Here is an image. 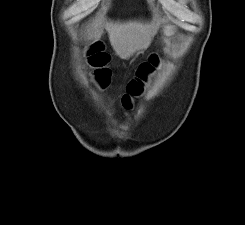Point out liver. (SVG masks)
<instances>
[{
	"instance_id": "obj_1",
	"label": "liver",
	"mask_w": 245,
	"mask_h": 225,
	"mask_svg": "<svg viewBox=\"0 0 245 225\" xmlns=\"http://www.w3.org/2000/svg\"><path fill=\"white\" fill-rule=\"evenodd\" d=\"M102 23L95 19L89 29L88 38L99 39ZM104 27L108 32L111 46L121 59H128L137 51L146 49L157 31L154 24L140 21L111 22L106 21Z\"/></svg>"
}]
</instances>
